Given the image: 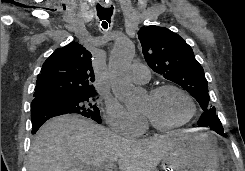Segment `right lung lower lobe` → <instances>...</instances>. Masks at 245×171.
I'll list each match as a JSON object with an SVG mask.
<instances>
[{
  "mask_svg": "<svg viewBox=\"0 0 245 171\" xmlns=\"http://www.w3.org/2000/svg\"><path fill=\"white\" fill-rule=\"evenodd\" d=\"M62 114H69L63 107L49 100H39L31 104L32 134L48 119Z\"/></svg>",
  "mask_w": 245,
  "mask_h": 171,
  "instance_id": "obj_1",
  "label": "right lung lower lobe"
}]
</instances>
